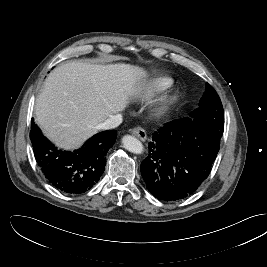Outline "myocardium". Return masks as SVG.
I'll list each match as a JSON object with an SVG mask.
<instances>
[{
	"label": "myocardium",
	"mask_w": 267,
	"mask_h": 267,
	"mask_svg": "<svg viewBox=\"0 0 267 267\" xmlns=\"http://www.w3.org/2000/svg\"><path fill=\"white\" fill-rule=\"evenodd\" d=\"M169 99H167L166 101H165V103L162 105V107H161V110H166L167 109V107H168V104H169Z\"/></svg>",
	"instance_id": "myocardium-1"
}]
</instances>
